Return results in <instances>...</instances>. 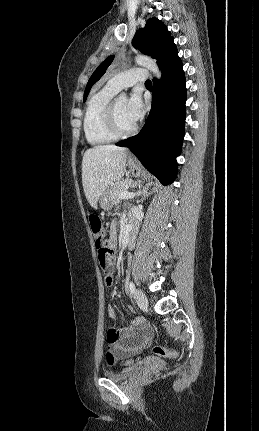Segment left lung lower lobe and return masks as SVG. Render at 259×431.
Instances as JSON below:
<instances>
[{
  "mask_svg": "<svg viewBox=\"0 0 259 431\" xmlns=\"http://www.w3.org/2000/svg\"><path fill=\"white\" fill-rule=\"evenodd\" d=\"M158 65L162 78L153 80V103L145 125L138 135L117 145L128 147L149 172L168 185L177 174L176 157L181 152L186 118V80L174 43Z\"/></svg>",
  "mask_w": 259,
  "mask_h": 431,
  "instance_id": "1",
  "label": "left lung lower lobe"
}]
</instances>
